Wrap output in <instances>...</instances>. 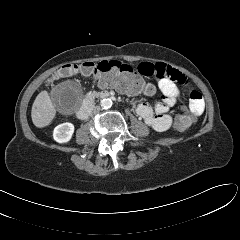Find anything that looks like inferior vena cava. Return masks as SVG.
<instances>
[{
    "label": "inferior vena cava",
    "instance_id": "inferior-vena-cava-1",
    "mask_svg": "<svg viewBox=\"0 0 240 240\" xmlns=\"http://www.w3.org/2000/svg\"><path fill=\"white\" fill-rule=\"evenodd\" d=\"M100 111V107L99 106H96V107H89V112L90 113H98Z\"/></svg>",
    "mask_w": 240,
    "mask_h": 240
}]
</instances>
